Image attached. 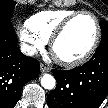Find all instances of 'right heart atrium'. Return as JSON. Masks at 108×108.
<instances>
[{
    "label": "right heart atrium",
    "instance_id": "1",
    "mask_svg": "<svg viewBox=\"0 0 108 108\" xmlns=\"http://www.w3.org/2000/svg\"><path fill=\"white\" fill-rule=\"evenodd\" d=\"M18 33L19 38L28 53L34 54L44 48L46 42L34 34L27 25H21Z\"/></svg>",
    "mask_w": 108,
    "mask_h": 108
}]
</instances>
